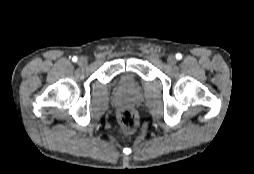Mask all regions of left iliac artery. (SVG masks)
Wrapping results in <instances>:
<instances>
[{
  "instance_id": "44dca946",
  "label": "left iliac artery",
  "mask_w": 254,
  "mask_h": 174,
  "mask_svg": "<svg viewBox=\"0 0 254 174\" xmlns=\"http://www.w3.org/2000/svg\"><path fill=\"white\" fill-rule=\"evenodd\" d=\"M176 58H177L178 60H180V59L182 58V55H181L180 53H177V54H176Z\"/></svg>"
}]
</instances>
